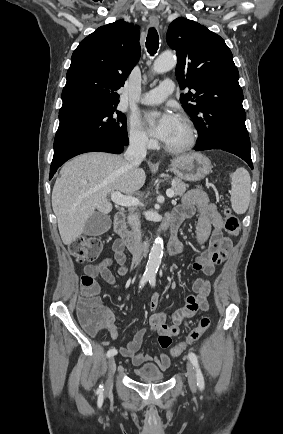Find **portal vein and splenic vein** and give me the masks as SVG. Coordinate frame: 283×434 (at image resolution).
<instances>
[{
    "label": "portal vein and splenic vein",
    "mask_w": 283,
    "mask_h": 434,
    "mask_svg": "<svg viewBox=\"0 0 283 434\" xmlns=\"http://www.w3.org/2000/svg\"><path fill=\"white\" fill-rule=\"evenodd\" d=\"M166 195L169 198L174 197V191L172 189H168L166 191ZM111 200L120 206L131 207L140 205V201L132 196L122 195L120 192L114 191L111 193Z\"/></svg>",
    "instance_id": "portal-vein-and-splenic-vein-1"
}]
</instances>
